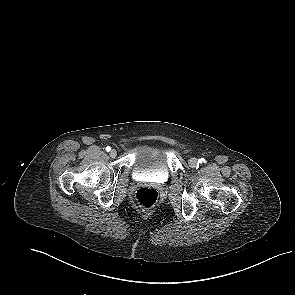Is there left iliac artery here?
<instances>
[{
    "instance_id": "obj_1",
    "label": "left iliac artery",
    "mask_w": 295,
    "mask_h": 295,
    "mask_svg": "<svg viewBox=\"0 0 295 295\" xmlns=\"http://www.w3.org/2000/svg\"><path fill=\"white\" fill-rule=\"evenodd\" d=\"M198 162L199 163H204L205 162V159L201 158V159L198 160Z\"/></svg>"
}]
</instances>
